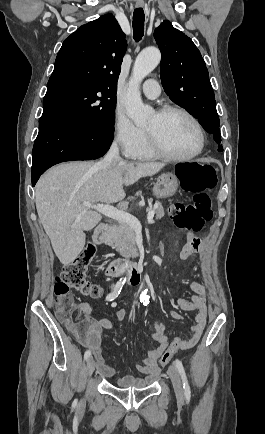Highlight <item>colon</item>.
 <instances>
[{
  "label": "colon",
  "instance_id": "5ec220e1",
  "mask_svg": "<svg viewBox=\"0 0 265 434\" xmlns=\"http://www.w3.org/2000/svg\"><path fill=\"white\" fill-rule=\"evenodd\" d=\"M186 164H177L176 170L179 181H184L185 191L193 193L192 202H172L170 208V218L175 226L188 234H196L201 231L205 222L211 219L210 199L208 190L216 185V170L211 165L199 164L196 158L188 159ZM94 248L85 250L73 262L66 264L62 272L57 276L54 290L58 299L55 301L56 314L60 318V327H76V315L67 306L66 302L71 299V289L78 293L97 299L102 294L100 285L90 282L87 273L90 261L94 255ZM76 332V329H73ZM77 338V335H73ZM185 346L181 345V340H175L170 344V348L164 351L160 358L163 365L169 362V357L178 355Z\"/></svg>",
  "mask_w": 265,
  "mask_h": 434
}]
</instances>
